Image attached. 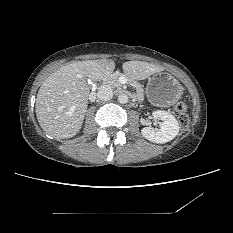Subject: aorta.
I'll return each instance as SVG.
<instances>
[{
    "label": "aorta",
    "instance_id": "1",
    "mask_svg": "<svg viewBox=\"0 0 233 233\" xmlns=\"http://www.w3.org/2000/svg\"><path fill=\"white\" fill-rule=\"evenodd\" d=\"M118 101L121 103V104H125L128 102V96L124 93L122 94H119L118 96Z\"/></svg>",
    "mask_w": 233,
    "mask_h": 233
}]
</instances>
